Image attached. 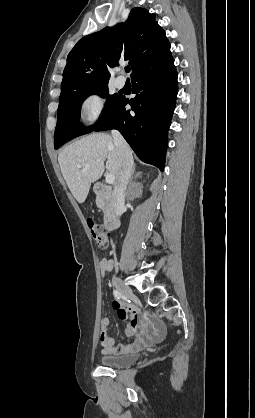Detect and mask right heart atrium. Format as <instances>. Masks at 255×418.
Listing matches in <instances>:
<instances>
[{"label": "right heart atrium", "instance_id": "obj_1", "mask_svg": "<svg viewBox=\"0 0 255 418\" xmlns=\"http://www.w3.org/2000/svg\"><path fill=\"white\" fill-rule=\"evenodd\" d=\"M104 111V98L99 93L87 95L80 104V119L86 124L95 123Z\"/></svg>", "mask_w": 255, "mask_h": 418}]
</instances>
